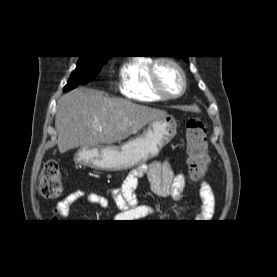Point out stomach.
Wrapping results in <instances>:
<instances>
[{"label":"stomach","instance_id":"0dacf381","mask_svg":"<svg viewBox=\"0 0 277 277\" xmlns=\"http://www.w3.org/2000/svg\"><path fill=\"white\" fill-rule=\"evenodd\" d=\"M177 122L171 115L148 123L143 133L119 146H82L76 162L95 169L118 171L158 156L176 135Z\"/></svg>","mask_w":277,"mask_h":277}]
</instances>
